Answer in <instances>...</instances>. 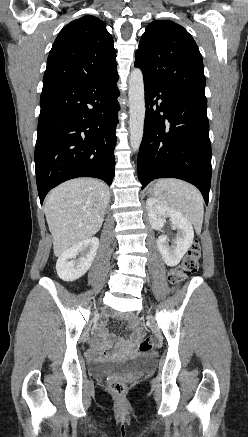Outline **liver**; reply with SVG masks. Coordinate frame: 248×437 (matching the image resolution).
Segmentation results:
<instances>
[{
  "mask_svg": "<svg viewBox=\"0 0 248 437\" xmlns=\"http://www.w3.org/2000/svg\"><path fill=\"white\" fill-rule=\"evenodd\" d=\"M109 200L108 187L93 178L69 180L47 195L44 211L55 256L100 230Z\"/></svg>",
  "mask_w": 248,
  "mask_h": 437,
  "instance_id": "liver-1",
  "label": "liver"
}]
</instances>
